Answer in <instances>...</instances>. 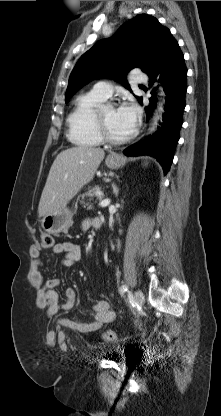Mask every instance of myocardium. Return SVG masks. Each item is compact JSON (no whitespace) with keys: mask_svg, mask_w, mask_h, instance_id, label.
Returning a JSON list of instances; mask_svg holds the SVG:
<instances>
[{"mask_svg":"<svg viewBox=\"0 0 221 416\" xmlns=\"http://www.w3.org/2000/svg\"><path fill=\"white\" fill-rule=\"evenodd\" d=\"M102 109L103 108H98L96 111V127H97V131L102 139L103 142H106L108 144L111 145H122L127 143L131 138L132 135L127 136L126 138L123 139H116L114 137L111 136V134L108 131V128L104 122L103 116H102Z\"/></svg>","mask_w":221,"mask_h":416,"instance_id":"obj_1","label":"myocardium"}]
</instances>
